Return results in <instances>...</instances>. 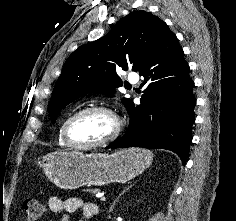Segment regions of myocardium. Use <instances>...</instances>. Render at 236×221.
<instances>
[{"label":"myocardium","mask_w":236,"mask_h":221,"mask_svg":"<svg viewBox=\"0 0 236 221\" xmlns=\"http://www.w3.org/2000/svg\"><path fill=\"white\" fill-rule=\"evenodd\" d=\"M92 112H103V113L108 114L114 121L113 133L108 138L102 141L96 142V143H91V144L75 143L70 137V129L73 122L80 116L85 115L87 113H92ZM121 131H122L121 119L119 115L111 107H108L105 105H91L83 109H80L79 111L75 112L74 114H72L71 116L67 118L63 126V139L70 148L78 149V150H91V149L105 147L115 142L118 139Z\"/></svg>","instance_id":"f54148a6"}]
</instances>
